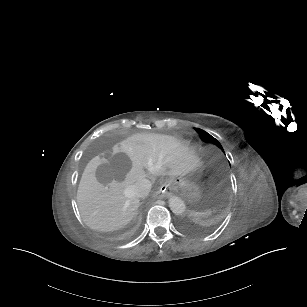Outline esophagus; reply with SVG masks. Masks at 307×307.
Here are the masks:
<instances>
[{
    "instance_id": "obj_1",
    "label": "esophagus",
    "mask_w": 307,
    "mask_h": 307,
    "mask_svg": "<svg viewBox=\"0 0 307 307\" xmlns=\"http://www.w3.org/2000/svg\"><path fill=\"white\" fill-rule=\"evenodd\" d=\"M163 194L165 196H168L171 194V188L169 187V185L166 186L165 191L163 192Z\"/></svg>"
}]
</instances>
